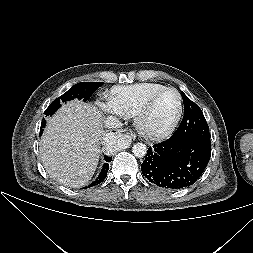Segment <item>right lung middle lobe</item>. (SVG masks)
Segmentation results:
<instances>
[{
  "label": "right lung middle lobe",
  "mask_w": 253,
  "mask_h": 253,
  "mask_svg": "<svg viewBox=\"0 0 253 253\" xmlns=\"http://www.w3.org/2000/svg\"><path fill=\"white\" fill-rule=\"evenodd\" d=\"M103 82H80L71 87L66 93L55 99L49 107L45 110L44 114L51 116L57 109L61 107L62 102H66L75 98L88 100L91 95L101 86ZM46 121H42L41 127L43 128ZM42 133V130L40 131Z\"/></svg>",
  "instance_id": "obj_1"
}]
</instances>
